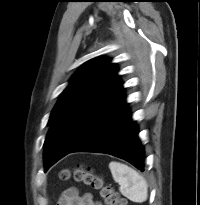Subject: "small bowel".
I'll return each mask as SVG.
<instances>
[{
	"instance_id": "obj_1",
	"label": "small bowel",
	"mask_w": 200,
	"mask_h": 205,
	"mask_svg": "<svg viewBox=\"0 0 200 205\" xmlns=\"http://www.w3.org/2000/svg\"><path fill=\"white\" fill-rule=\"evenodd\" d=\"M58 205H101L92 199L90 194L79 195L74 189L66 190L60 198Z\"/></svg>"
}]
</instances>
